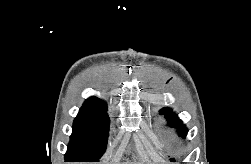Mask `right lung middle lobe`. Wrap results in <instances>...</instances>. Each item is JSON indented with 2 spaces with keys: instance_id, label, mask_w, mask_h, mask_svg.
I'll return each mask as SVG.
<instances>
[{
  "instance_id": "1",
  "label": "right lung middle lobe",
  "mask_w": 251,
  "mask_h": 164,
  "mask_svg": "<svg viewBox=\"0 0 251 164\" xmlns=\"http://www.w3.org/2000/svg\"><path fill=\"white\" fill-rule=\"evenodd\" d=\"M107 108L83 106L73 124L65 155L67 162H97L107 145L109 117Z\"/></svg>"
}]
</instances>
